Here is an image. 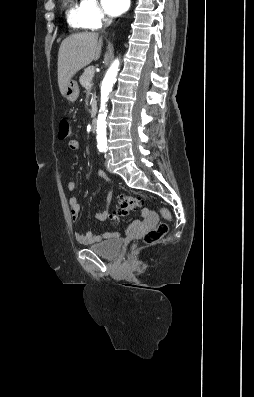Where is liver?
Returning <instances> with one entry per match:
<instances>
[{"mask_svg": "<svg viewBox=\"0 0 254 397\" xmlns=\"http://www.w3.org/2000/svg\"><path fill=\"white\" fill-rule=\"evenodd\" d=\"M101 48L102 39L94 32L74 34L62 41L58 52V85L62 95L78 71L99 59Z\"/></svg>", "mask_w": 254, "mask_h": 397, "instance_id": "6515ba94", "label": "liver"}]
</instances>
